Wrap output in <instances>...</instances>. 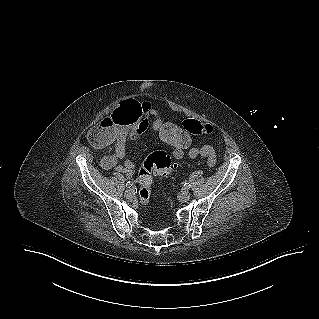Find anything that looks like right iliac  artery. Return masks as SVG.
Masks as SVG:
<instances>
[{"label": "right iliac artery", "mask_w": 319, "mask_h": 319, "mask_svg": "<svg viewBox=\"0 0 319 319\" xmlns=\"http://www.w3.org/2000/svg\"><path fill=\"white\" fill-rule=\"evenodd\" d=\"M131 186H133V183H132L131 181H128V182L126 183V187H127V188H130Z\"/></svg>", "instance_id": "right-iliac-artery-1"}]
</instances>
